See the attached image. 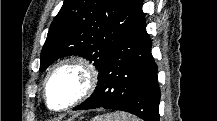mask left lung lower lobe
<instances>
[{
  "instance_id": "left-lung-lower-lobe-1",
  "label": "left lung lower lobe",
  "mask_w": 217,
  "mask_h": 121,
  "mask_svg": "<svg viewBox=\"0 0 217 121\" xmlns=\"http://www.w3.org/2000/svg\"><path fill=\"white\" fill-rule=\"evenodd\" d=\"M142 4L126 33L99 70L93 94L74 110L108 108L159 121L160 88Z\"/></svg>"
}]
</instances>
